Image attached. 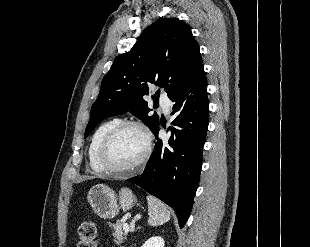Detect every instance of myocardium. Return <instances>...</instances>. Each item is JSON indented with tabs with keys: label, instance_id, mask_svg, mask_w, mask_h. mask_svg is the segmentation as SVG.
<instances>
[{
	"label": "myocardium",
	"instance_id": "myocardium-1",
	"mask_svg": "<svg viewBox=\"0 0 310 247\" xmlns=\"http://www.w3.org/2000/svg\"><path fill=\"white\" fill-rule=\"evenodd\" d=\"M128 127H134L139 129L145 138V149L142 153V155L138 158L136 162H134L131 165H128L126 167H113L111 166L107 159L106 154L108 151V148L112 142V140L116 137V135L121 132L123 129ZM152 152V137L149 129L141 122L139 121H133V120H123L119 121L113 128H111L108 133L105 135L103 140L100 143L99 149H98V162L102 166V168L112 175H123L127 173L134 172L141 167L144 166V164L149 159Z\"/></svg>",
	"mask_w": 310,
	"mask_h": 247
}]
</instances>
